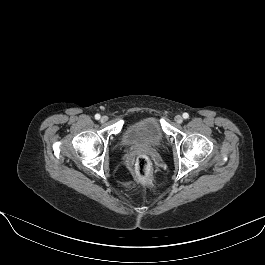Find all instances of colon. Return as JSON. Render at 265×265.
Listing matches in <instances>:
<instances>
[{
  "label": "colon",
  "instance_id": "1",
  "mask_svg": "<svg viewBox=\"0 0 265 265\" xmlns=\"http://www.w3.org/2000/svg\"><path fill=\"white\" fill-rule=\"evenodd\" d=\"M135 175L137 179L145 185H151L153 182L152 168L149 159L140 155L137 157L134 165Z\"/></svg>",
  "mask_w": 265,
  "mask_h": 265
}]
</instances>
